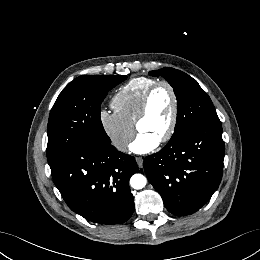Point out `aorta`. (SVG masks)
<instances>
[{"mask_svg":"<svg viewBox=\"0 0 260 260\" xmlns=\"http://www.w3.org/2000/svg\"><path fill=\"white\" fill-rule=\"evenodd\" d=\"M147 179L142 174H134L130 179V185L134 189H142L145 187Z\"/></svg>","mask_w":260,"mask_h":260,"instance_id":"aorta-1","label":"aorta"}]
</instances>
